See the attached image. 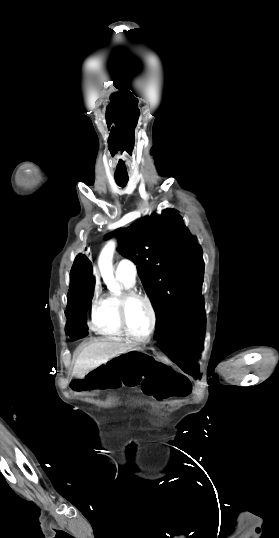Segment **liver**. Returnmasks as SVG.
Masks as SVG:
<instances>
[{"label":"liver","instance_id":"liver-1","mask_svg":"<svg viewBox=\"0 0 279 538\" xmlns=\"http://www.w3.org/2000/svg\"><path fill=\"white\" fill-rule=\"evenodd\" d=\"M132 346L125 342H116V340H98L92 342L87 348L80 352L73 368L72 376L75 378H84L85 374L95 370L101 364L108 362L110 358H115L119 354H126Z\"/></svg>","mask_w":279,"mask_h":538}]
</instances>
